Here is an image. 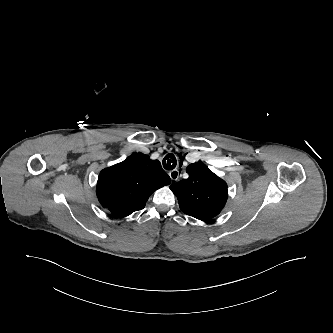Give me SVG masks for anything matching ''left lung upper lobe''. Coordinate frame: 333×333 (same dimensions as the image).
Masks as SVG:
<instances>
[{"mask_svg": "<svg viewBox=\"0 0 333 333\" xmlns=\"http://www.w3.org/2000/svg\"><path fill=\"white\" fill-rule=\"evenodd\" d=\"M188 179L170 186L185 213L219 214L227 200V184L201 161L186 168Z\"/></svg>", "mask_w": 333, "mask_h": 333, "instance_id": "1", "label": "left lung upper lobe"}]
</instances>
